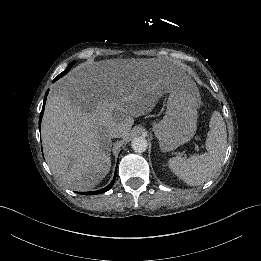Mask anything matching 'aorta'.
Returning <instances> with one entry per match:
<instances>
[{
    "label": "aorta",
    "instance_id": "762f6f07",
    "mask_svg": "<svg viewBox=\"0 0 261 261\" xmlns=\"http://www.w3.org/2000/svg\"><path fill=\"white\" fill-rule=\"evenodd\" d=\"M131 147L136 153H144L148 148L146 138L142 136L135 137L131 142Z\"/></svg>",
    "mask_w": 261,
    "mask_h": 261
}]
</instances>
